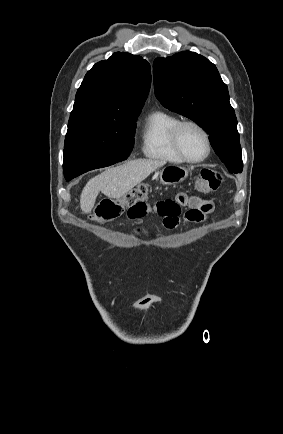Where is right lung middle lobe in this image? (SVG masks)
Here are the masks:
<instances>
[{
	"label": "right lung middle lobe",
	"mask_w": 283,
	"mask_h": 434,
	"mask_svg": "<svg viewBox=\"0 0 283 434\" xmlns=\"http://www.w3.org/2000/svg\"><path fill=\"white\" fill-rule=\"evenodd\" d=\"M137 117L69 121L63 161L66 180L127 159L134 146Z\"/></svg>",
	"instance_id": "obj_1"
}]
</instances>
